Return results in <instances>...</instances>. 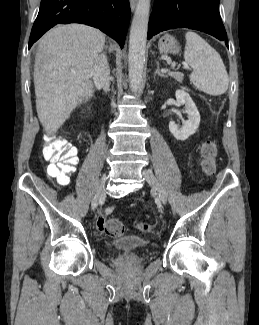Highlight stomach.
Returning a JSON list of instances; mask_svg holds the SVG:
<instances>
[{"mask_svg": "<svg viewBox=\"0 0 259 325\" xmlns=\"http://www.w3.org/2000/svg\"><path fill=\"white\" fill-rule=\"evenodd\" d=\"M158 49L164 54H176L179 51V45L173 36L165 34L159 39Z\"/></svg>", "mask_w": 259, "mask_h": 325, "instance_id": "0dacf381", "label": "stomach"}]
</instances>
